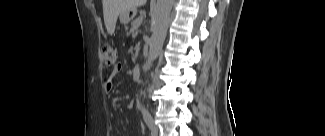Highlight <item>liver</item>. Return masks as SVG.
<instances>
[{
	"label": "liver",
	"instance_id": "obj_1",
	"mask_svg": "<svg viewBox=\"0 0 325 136\" xmlns=\"http://www.w3.org/2000/svg\"><path fill=\"white\" fill-rule=\"evenodd\" d=\"M147 0H103L104 22L108 34L112 35L115 31L116 22L119 14L136 7L144 5Z\"/></svg>",
	"mask_w": 325,
	"mask_h": 136
}]
</instances>
